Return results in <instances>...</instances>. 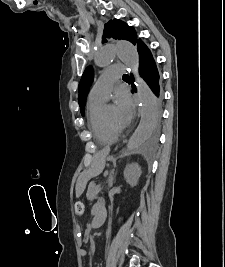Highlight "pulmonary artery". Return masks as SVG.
Masks as SVG:
<instances>
[{
    "label": "pulmonary artery",
    "instance_id": "pulmonary-artery-1",
    "mask_svg": "<svg viewBox=\"0 0 225 267\" xmlns=\"http://www.w3.org/2000/svg\"><path fill=\"white\" fill-rule=\"evenodd\" d=\"M123 64H114L107 68L98 77L89 93V99L106 101L109 97L113 84L124 74Z\"/></svg>",
    "mask_w": 225,
    "mask_h": 267
}]
</instances>
